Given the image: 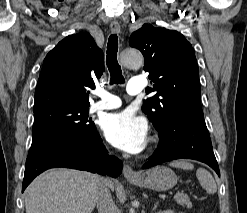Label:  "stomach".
<instances>
[{
    "mask_svg": "<svg viewBox=\"0 0 247 213\" xmlns=\"http://www.w3.org/2000/svg\"><path fill=\"white\" fill-rule=\"evenodd\" d=\"M136 186L157 191H166L177 183L176 174L168 167L156 166L140 174L138 179L130 180Z\"/></svg>",
    "mask_w": 247,
    "mask_h": 213,
    "instance_id": "obj_1",
    "label": "stomach"
}]
</instances>
